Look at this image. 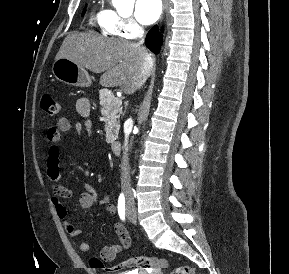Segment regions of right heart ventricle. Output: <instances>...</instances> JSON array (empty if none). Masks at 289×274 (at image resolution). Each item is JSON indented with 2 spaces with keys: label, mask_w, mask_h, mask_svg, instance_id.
Listing matches in <instances>:
<instances>
[{
  "label": "right heart ventricle",
  "mask_w": 289,
  "mask_h": 274,
  "mask_svg": "<svg viewBox=\"0 0 289 274\" xmlns=\"http://www.w3.org/2000/svg\"><path fill=\"white\" fill-rule=\"evenodd\" d=\"M112 10L96 5L90 17L91 24L96 23L105 33L115 34L110 27Z\"/></svg>",
  "instance_id": "1"
}]
</instances>
